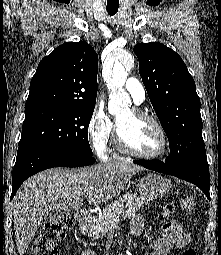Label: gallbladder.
<instances>
[{"label": "gallbladder", "mask_w": 221, "mask_h": 255, "mask_svg": "<svg viewBox=\"0 0 221 255\" xmlns=\"http://www.w3.org/2000/svg\"><path fill=\"white\" fill-rule=\"evenodd\" d=\"M57 213H58V210L48 211V212L44 215V219L53 218Z\"/></svg>", "instance_id": "gallbladder-1"}]
</instances>
